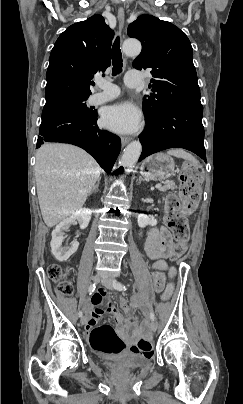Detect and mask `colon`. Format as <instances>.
<instances>
[{"label":"colon","mask_w":243,"mask_h":404,"mask_svg":"<svg viewBox=\"0 0 243 404\" xmlns=\"http://www.w3.org/2000/svg\"><path fill=\"white\" fill-rule=\"evenodd\" d=\"M180 182L179 192L168 195L165 201V222L174 240L170 249L172 258L180 257L186 250L189 227L182 212H192L199 202L202 182L200 167L192 162H186L181 170ZM47 275L58 283V290L61 294H71L72 284L67 278L68 270L59 264H51L47 268ZM152 283L155 291H161L165 284L164 273L160 271L154 272L152 274ZM119 304L126 313L131 314L135 300L129 303L126 299H121ZM89 340L94 350L104 354H116L125 348L123 340L113 326L109 324L95 327L90 332ZM136 348L145 355H150L153 344L151 340L142 338Z\"/></svg>","instance_id":"5ec220e1"}]
</instances>
